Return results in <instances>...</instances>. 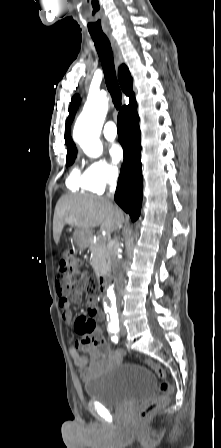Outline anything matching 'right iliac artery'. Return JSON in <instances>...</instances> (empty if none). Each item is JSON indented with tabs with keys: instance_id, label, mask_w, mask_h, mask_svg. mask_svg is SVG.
I'll list each match as a JSON object with an SVG mask.
<instances>
[{
	"instance_id": "1",
	"label": "right iliac artery",
	"mask_w": 221,
	"mask_h": 448,
	"mask_svg": "<svg viewBox=\"0 0 221 448\" xmlns=\"http://www.w3.org/2000/svg\"><path fill=\"white\" fill-rule=\"evenodd\" d=\"M108 328L111 333L119 332V320L118 317H111L108 323Z\"/></svg>"
}]
</instances>
